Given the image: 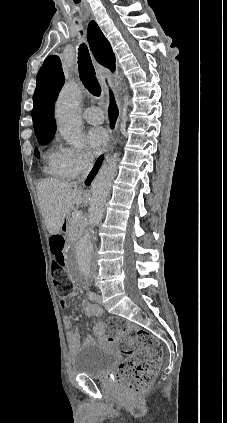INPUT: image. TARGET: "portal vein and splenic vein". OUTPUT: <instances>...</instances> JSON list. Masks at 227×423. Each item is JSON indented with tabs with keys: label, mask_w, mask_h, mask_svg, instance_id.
Segmentation results:
<instances>
[{
	"label": "portal vein and splenic vein",
	"mask_w": 227,
	"mask_h": 423,
	"mask_svg": "<svg viewBox=\"0 0 227 423\" xmlns=\"http://www.w3.org/2000/svg\"><path fill=\"white\" fill-rule=\"evenodd\" d=\"M72 219H81V211L74 210L72 211Z\"/></svg>",
	"instance_id": "obj_1"
}]
</instances>
